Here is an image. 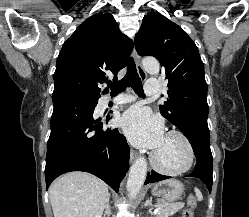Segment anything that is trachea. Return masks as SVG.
I'll return each instance as SVG.
<instances>
[{"instance_id":"3493384b","label":"trachea","mask_w":249,"mask_h":217,"mask_svg":"<svg viewBox=\"0 0 249 217\" xmlns=\"http://www.w3.org/2000/svg\"><path fill=\"white\" fill-rule=\"evenodd\" d=\"M107 85L111 89L112 94L121 93V92L125 91V89L128 86L132 85L133 90L135 91V93L138 96H140V97L145 96L144 91H143L142 82H141L140 77L137 73L135 62H134V59L132 57H130L128 60L127 73L124 76V78L121 79L120 81H117L114 83L109 82V83H107Z\"/></svg>"}]
</instances>
